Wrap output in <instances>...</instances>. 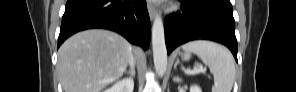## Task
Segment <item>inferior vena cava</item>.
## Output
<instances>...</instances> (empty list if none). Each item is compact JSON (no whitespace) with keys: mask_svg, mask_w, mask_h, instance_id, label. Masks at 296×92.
<instances>
[{"mask_svg":"<svg viewBox=\"0 0 296 92\" xmlns=\"http://www.w3.org/2000/svg\"><path fill=\"white\" fill-rule=\"evenodd\" d=\"M129 65L131 66V68L135 66V59L133 56H131V58L129 60Z\"/></svg>","mask_w":296,"mask_h":92,"instance_id":"obj_1","label":"inferior vena cava"}]
</instances>
